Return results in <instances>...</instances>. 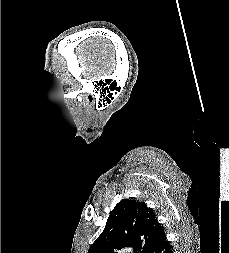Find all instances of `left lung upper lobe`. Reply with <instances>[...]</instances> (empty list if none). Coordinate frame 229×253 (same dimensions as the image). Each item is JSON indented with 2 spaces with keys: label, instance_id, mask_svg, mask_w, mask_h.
Returning a JSON list of instances; mask_svg holds the SVG:
<instances>
[{
  "label": "left lung upper lobe",
  "instance_id": "5c2ea615",
  "mask_svg": "<svg viewBox=\"0 0 229 253\" xmlns=\"http://www.w3.org/2000/svg\"><path fill=\"white\" fill-rule=\"evenodd\" d=\"M151 208L134 199L121 200L110 212L101 235L88 253H154L165 237Z\"/></svg>",
  "mask_w": 229,
  "mask_h": 253
}]
</instances>
